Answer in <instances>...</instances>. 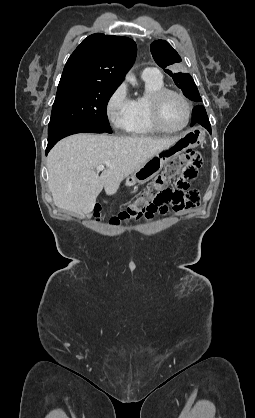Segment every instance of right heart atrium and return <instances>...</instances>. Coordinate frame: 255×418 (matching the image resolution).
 <instances>
[{"mask_svg": "<svg viewBox=\"0 0 255 418\" xmlns=\"http://www.w3.org/2000/svg\"><path fill=\"white\" fill-rule=\"evenodd\" d=\"M133 113V100L129 97L124 84L119 85L106 103L108 121L116 130L127 131L130 127Z\"/></svg>", "mask_w": 255, "mask_h": 418, "instance_id": "1", "label": "right heart atrium"}]
</instances>
